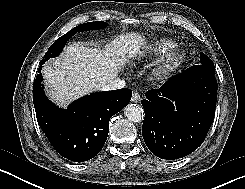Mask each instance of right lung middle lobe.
Listing matches in <instances>:
<instances>
[{"label": "right lung middle lobe", "mask_w": 245, "mask_h": 189, "mask_svg": "<svg viewBox=\"0 0 245 189\" xmlns=\"http://www.w3.org/2000/svg\"><path fill=\"white\" fill-rule=\"evenodd\" d=\"M107 26V23L98 21V22H88L81 25L76 26L75 28L71 29L68 33L58 38L48 49L45 56L40 62V66H42L48 59L54 58L59 55V53L64 48L66 42L77 32L82 31H89V30H96L102 29Z\"/></svg>", "instance_id": "right-lung-middle-lobe-1"}]
</instances>
